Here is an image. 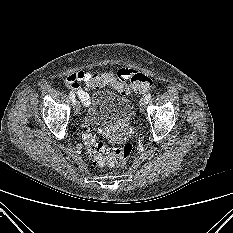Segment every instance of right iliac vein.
<instances>
[{
    "label": "right iliac vein",
    "mask_w": 233,
    "mask_h": 233,
    "mask_svg": "<svg viewBox=\"0 0 233 233\" xmlns=\"http://www.w3.org/2000/svg\"><path fill=\"white\" fill-rule=\"evenodd\" d=\"M74 105H75V113L78 114L79 111H80V107H79L78 102H76V100H75V102H74Z\"/></svg>",
    "instance_id": "obj_1"
}]
</instances>
